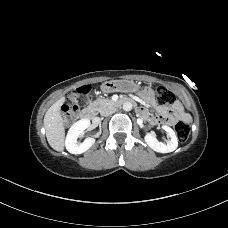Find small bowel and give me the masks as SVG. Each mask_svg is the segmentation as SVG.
<instances>
[{
    "instance_id": "1",
    "label": "small bowel",
    "mask_w": 228,
    "mask_h": 228,
    "mask_svg": "<svg viewBox=\"0 0 228 228\" xmlns=\"http://www.w3.org/2000/svg\"><path fill=\"white\" fill-rule=\"evenodd\" d=\"M142 98L149 102V103H154L155 99H154V95L152 92H145L142 95ZM139 112L143 115V116H147L148 112L146 108H140ZM177 119H182V120H188L189 116L187 113L184 112L183 110V106L179 101H175L172 105L171 111H167V110H163V112H161L158 115H154L151 117L152 122L154 123H159V122H163V123H167V124H173Z\"/></svg>"
}]
</instances>
